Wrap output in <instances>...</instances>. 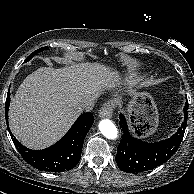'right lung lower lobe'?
<instances>
[{
	"instance_id": "obj_1",
	"label": "right lung lower lobe",
	"mask_w": 194,
	"mask_h": 194,
	"mask_svg": "<svg viewBox=\"0 0 194 194\" xmlns=\"http://www.w3.org/2000/svg\"><path fill=\"white\" fill-rule=\"evenodd\" d=\"M9 105L10 91H8L5 104L6 122H8ZM93 122L92 113L80 115L62 139L44 150H31L24 147L13 136L9 128L8 131L23 159L34 168L48 172H64L65 170L73 169L78 164L85 136Z\"/></svg>"
}]
</instances>
